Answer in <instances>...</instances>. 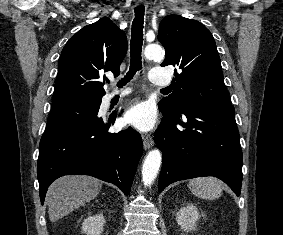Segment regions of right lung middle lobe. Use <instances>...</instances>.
Listing matches in <instances>:
<instances>
[{
  "label": "right lung middle lobe",
  "instance_id": "dd1d6c3e",
  "mask_svg": "<svg viewBox=\"0 0 283 235\" xmlns=\"http://www.w3.org/2000/svg\"><path fill=\"white\" fill-rule=\"evenodd\" d=\"M101 98H72L53 103L45 132H52L70 123L92 116Z\"/></svg>",
  "mask_w": 283,
  "mask_h": 235
}]
</instances>
